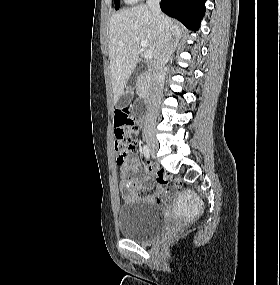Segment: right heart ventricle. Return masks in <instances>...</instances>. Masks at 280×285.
Instances as JSON below:
<instances>
[{
	"label": "right heart ventricle",
	"instance_id": "1",
	"mask_svg": "<svg viewBox=\"0 0 280 285\" xmlns=\"http://www.w3.org/2000/svg\"><path fill=\"white\" fill-rule=\"evenodd\" d=\"M126 1H136V0H126Z\"/></svg>",
	"mask_w": 280,
	"mask_h": 285
}]
</instances>
